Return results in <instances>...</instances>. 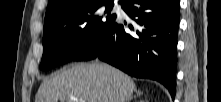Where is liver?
I'll list each match as a JSON object with an SVG mask.
<instances>
[{"label": "liver", "instance_id": "1", "mask_svg": "<svg viewBox=\"0 0 221 102\" xmlns=\"http://www.w3.org/2000/svg\"><path fill=\"white\" fill-rule=\"evenodd\" d=\"M134 91L128 75L96 62L75 65L45 79L35 102H127Z\"/></svg>", "mask_w": 221, "mask_h": 102}]
</instances>
